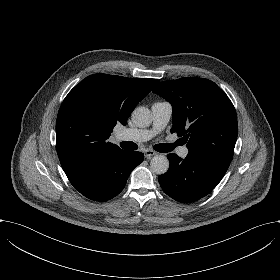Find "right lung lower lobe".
<instances>
[{
  "label": "right lung lower lobe",
  "instance_id": "98d812e1",
  "mask_svg": "<svg viewBox=\"0 0 280 280\" xmlns=\"http://www.w3.org/2000/svg\"><path fill=\"white\" fill-rule=\"evenodd\" d=\"M144 159L141 152L123 151L91 169L83 184L74 187L86 198L104 202L117 196L125 187L131 171Z\"/></svg>",
  "mask_w": 280,
  "mask_h": 280
}]
</instances>
